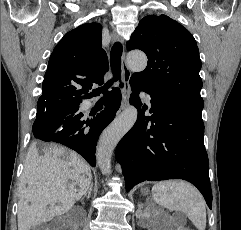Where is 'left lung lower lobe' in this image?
<instances>
[{
    "label": "left lung lower lobe",
    "mask_w": 241,
    "mask_h": 230,
    "mask_svg": "<svg viewBox=\"0 0 241 230\" xmlns=\"http://www.w3.org/2000/svg\"><path fill=\"white\" fill-rule=\"evenodd\" d=\"M130 103L138 120L121 139L116 159L121 164L127 192L148 181L183 179L195 185L212 207L209 161L204 147L202 109L175 98L148 91L132 79ZM151 96L152 116H144L138 93Z\"/></svg>",
    "instance_id": "left-lung-lower-lobe-1"
}]
</instances>
